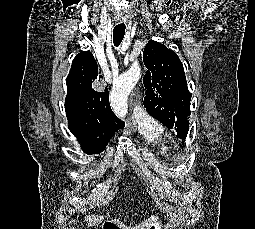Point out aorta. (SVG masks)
<instances>
[{"label":"aorta","instance_id":"aorta-1","mask_svg":"<svg viewBox=\"0 0 255 229\" xmlns=\"http://www.w3.org/2000/svg\"><path fill=\"white\" fill-rule=\"evenodd\" d=\"M141 69L138 65H133L113 83L110 94V104L113 112L119 119H124L128 109V95L139 81Z\"/></svg>","mask_w":255,"mask_h":229}]
</instances>
